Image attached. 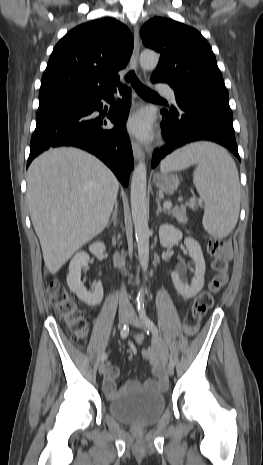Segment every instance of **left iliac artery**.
Here are the masks:
<instances>
[{"instance_id": "obj_1", "label": "left iliac artery", "mask_w": 263, "mask_h": 465, "mask_svg": "<svg viewBox=\"0 0 263 465\" xmlns=\"http://www.w3.org/2000/svg\"><path fill=\"white\" fill-rule=\"evenodd\" d=\"M138 311H139V316L143 323L145 324L148 332L150 331L153 335H158V328L157 326L153 323V321L147 316L145 308H144V303H138ZM169 363L174 366L175 361L173 358H170Z\"/></svg>"}]
</instances>
